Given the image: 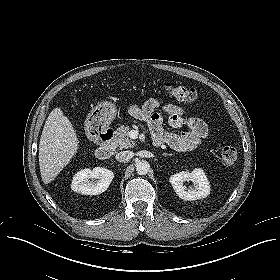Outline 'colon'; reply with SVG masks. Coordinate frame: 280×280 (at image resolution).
Instances as JSON below:
<instances>
[{
  "instance_id": "colon-1",
  "label": "colon",
  "mask_w": 280,
  "mask_h": 280,
  "mask_svg": "<svg viewBox=\"0 0 280 280\" xmlns=\"http://www.w3.org/2000/svg\"><path fill=\"white\" fill-rule=\"evenodd\" d=\"M164 93L170 97H174L185 103H195L198 99V92L195 88L184 86V85H174L170 82H164L163 84ZM237 150L234 147L226 146L222 149L221 159L222 162L227 165H233L237 160Z\"/></svg>"
}]
</instances>
